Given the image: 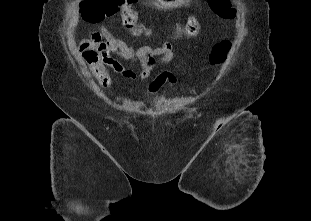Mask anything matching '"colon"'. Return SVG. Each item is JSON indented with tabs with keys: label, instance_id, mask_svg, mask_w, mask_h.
Listing matches in <instances>:
<instances>
[{
	"label": "colon",
	"instance_id": "1",
	"mask_svg": "<svg viewBox=\"0 0 311 221\" xmlns=\"http://www.w3.org/2000/svg\"><path fill=\"white\" fill-rule=\"evenodd\" d=\"M230 0H205L214 9L217 20H230L235 16ZM135 0H86V5L82 8L81 22H95L97 26L102 24L99 17H121L122 26L131 30L133 33L139 28L137 23L138 13L134 8ZM179 28L189 37L195 38L201 32L200 22L189 17ZM113 46L107 40L97 33H92L83 38L79 43V51L90 65V70L95 79L105 86L110 82V76L105 67ZM231 50V42L228 40L217 44L211 52V62L213 64L222 63ZM149 70V69H147Z\"/></svg>",
	"mask_w": 311,
	"mask_h": 221
}]
</instances>
